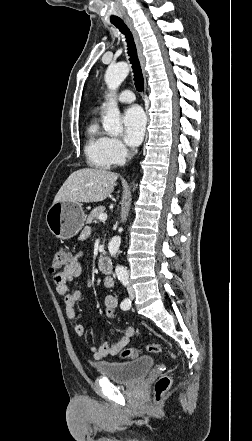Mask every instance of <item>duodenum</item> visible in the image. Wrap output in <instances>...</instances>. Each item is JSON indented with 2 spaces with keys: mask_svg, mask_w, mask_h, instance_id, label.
<instances>
[{
  "mask_svg": "<svg viewBox=\"0 0 252 441\" xmlns=\"http://www.w3.org/2000/svg\"><path fill=\"white\" fill-rule=\"evenodd\" d=\"M99 268L106 274L112 271V262L106 255H101L99 258Z\"/></svg>",
  "mask_w": 252,
  "mask_h": 441,
  "instance_id": "duodenum-1",
  "label": "duodenum"
}]
</instances>
